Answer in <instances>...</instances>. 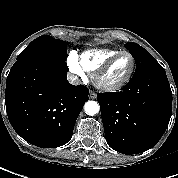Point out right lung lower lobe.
I'll list each match as a JSON object with an SVG mask.
<instances>
[{
  "instance_id": "1",
  "label": "right lung lower lobe",
  "mask_w": 178,
  "mask_h": 178,
  "mask_svg": "<svg viewBox=\"0 0 178 178\" xmlns=\"http://www.w3.org/2000/svg\"><path fill=\"white\" fill-rule=\"evenodd\" d=\"M62 61H20L6 80L5 103L14 130L27 142L55 148L72 137L89 90L71 85Z\"/></svg>"
}]
</instances>
